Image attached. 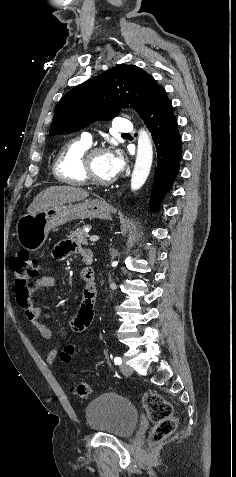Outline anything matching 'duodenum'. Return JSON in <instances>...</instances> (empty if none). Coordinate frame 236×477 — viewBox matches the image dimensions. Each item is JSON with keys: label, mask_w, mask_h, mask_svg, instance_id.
<instances>
[{"label": "duodenum", "mask_w": 236, "mask_h": 477, "mask_svg": "<svg viewBox=\"0 0 236 477\" xmlns=\"http://www.w3.org/2000/svg\"><path fill=\"white\" fill-rule=\"evenodd\" d=\"M92 263H93V258L91 257L87 260V264H92ZM94 280H95L94 277H92L91 280H90V283L94 284Z\"/></svg>", "instance_id": "410a0bca"}]
</instances>
